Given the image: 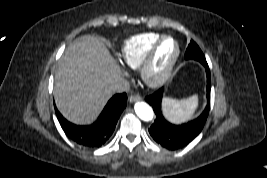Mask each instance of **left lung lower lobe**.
I'll return each instance as SVG.
<instances>
[{
  "label": "left lung lower lobe",
  "instance_id": "left-lung-lower-lobe-1",
  "mask_svg": "<svg viewBox=\"0 0 267 178\" xmlns=\"http://www.w3.org/2000/svg\"><path fill=\"white\" fill-rule=\"evenodd\" d=\"M207 75V105L196 119L181 125L169 123L162 115L161 103L163 89H159L145 100L153 107L156 114L154 123L149 128L151 137L168 150H177L188 145L203 129L210 110L211 78L208 64L204 65Z\"/></svg>",
  "mask_w": 267,
  "mask_h": 178
}]
</instances>
